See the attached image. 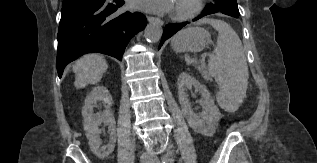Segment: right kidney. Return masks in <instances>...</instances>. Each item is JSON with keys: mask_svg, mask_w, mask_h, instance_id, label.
Masks as SVG:
<instances>
[{"mask_svg": "<svg viewBox=\"0 0 317 163\" xmlns=\"http://www.w3.org/2000/svg\"><path fill=\"white\" fill-rule=\"evenodd\" d=\"M103 101L105 110L102 113L95 114L93 107L97 101ZM112 105V96L104 86H96L87 95L85 105L82 109V116L84 121V130L86 137L89 140V147L91 151L100 159L108 157L115 148L116 130L115 119L110 106ZM108 125L110 128L109 143L106 146H101L102 142L99 135L98 127L101 124Z\"/></svg>", "mask_w": 317, "mask_h": 163, "instance_id": "right-kidney-1", "label": "right kidney"}]
</instances>
